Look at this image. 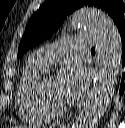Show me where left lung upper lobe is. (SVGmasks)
<instances>
[{"mask_svg":"<svg viewBox=\"0 0 125 128\" xmlns=\"http://www.w3.org/2000/svg\"><path fill=\"white\" fill-rule=\"evenodd\" d=\"M83 6L101 8L116 26L124 22L123 0H51L42 4L30 18L18 48V57L50 37L63 24L67 15Z\"/></svg>","mask_w":125,"mask_h":128,"instance_id":"1","label":"left lung upper lobe"}]
</instances>
